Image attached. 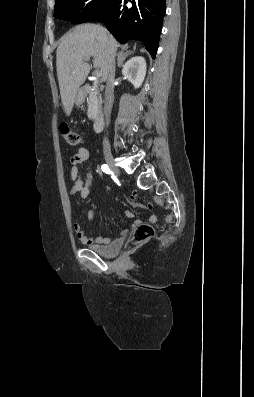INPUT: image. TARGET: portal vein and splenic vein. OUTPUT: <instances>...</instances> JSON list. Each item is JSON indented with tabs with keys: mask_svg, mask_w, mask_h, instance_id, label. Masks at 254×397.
Returning a JSON list of instances; mask_svg holds the SVG:
<instances>
[{
	"mask_svg": "<svg viewBox=\"0 0 254 397\" xmlns=\"http://www.w3.org/2000/svg\"><path fill=\"white\" fill-rule=\"evenodd\" d=\"M89 60V59H88ZM87 60V61H88ZM102 76V72L101 71H99V70H95L94 71V78L95 79H98L99 77H101Z\"/></svg>",
	"mask_w": 254,
	"mask_h": 397,
	"instance_id": "1",
	"label": "portal vein and splenic vein"
}]
</instances>
